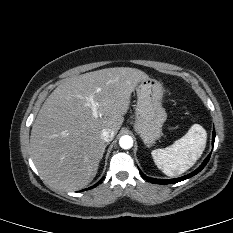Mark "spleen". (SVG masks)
Listing matches in <instances>:
<instances>
[{"mask_svg": "<svg viewBox=\"0 0 233 233\" xmlns=\"http://www.w3.org/2000/svg\"><path fill=\"white\" fill-rule=\"evenodd\" d=\"M207 140L205 129L194 124L171 146L151 152L156 166L167 176H177L190 169L201 157Z\"/></svg>", "mask_w": 233, "mask_h": 233, "instance_id": "1", "label": "spleen"}]
</instances>
